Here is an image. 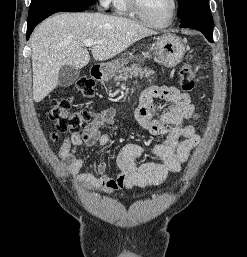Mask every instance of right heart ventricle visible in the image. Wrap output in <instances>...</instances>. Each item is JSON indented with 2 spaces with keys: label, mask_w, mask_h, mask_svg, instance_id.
<instances>
[{
  "label": "right heart ventricle",
  "mask_w": 247,
  "mask_h": 257,
  "mask_svg": "<svg viewBox=\"0 0 247 257\" xmlns=\"http://www.w3.org/2000/svg\"><path fill=\"white\" fill-rule=\"evenodd\" d=\"M112 5L115 13L117 14L129 16L134 15L127 4V0H113Z\"/></svg>",
  "instance_id": "e07e8e85"
}]
</instances>
